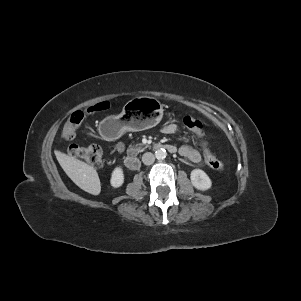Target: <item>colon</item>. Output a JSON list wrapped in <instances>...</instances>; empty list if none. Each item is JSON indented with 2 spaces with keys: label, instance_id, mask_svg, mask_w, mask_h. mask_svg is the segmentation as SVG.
<instances>
[{
  "label": "colon",
  "instance_id": "1",
  "mask_svg": "<svg viewBox=\"0 0 301 301\" xmlns=\"http://www.w3.org/2000/svg\"><path fill=\"white\" fill-rule=\"evenodd\" d=\"M110 106L109 102L102 101L88 107L85 111H76L71 114L68 121L62 129V137L67 141H73L76 138V131L85 117L89 114H93L99 111L108 109ZM162 112L170 118L176 117V112L168 106L162 107ZM183 124L186 128L192 131L195 136L199 139V144L202 147L203 157L205 162L215 170H222L223 163L218 160L210 151L204 140V130L202 122L191 116L183 118ZM69 155L79 158L85 161L87 164L94 168H101L104 165V153L100 146L92 144L88 146H79L72 144L68 148Z\"/></svg>",
  "mask_w": 301,
  "mask_h": 301
}]
</instances>
